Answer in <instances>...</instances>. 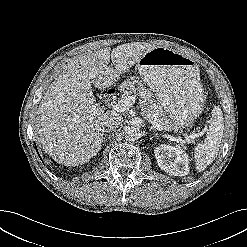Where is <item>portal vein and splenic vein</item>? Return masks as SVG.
<instances>
[{
  "mask_svg": "<svg viewBox=\"0 0 247 247\" xmlns=\"http://www.w3.org/2000/svg\"><path fill=\"white\" fill-rule=\"evenodd\" d=\"M135 102V97L131 95H127L125 97H122L118 102L111 101V106L116 110L117 112H124L126 109H128L129 106H131ZM148 122L151 123V125L156 128L158 131H162L164 128L156 122V120L152 119L150 116H147ZM191 137V136H190ZM193 138V137H191Z\"/></svg>",
  "mask_w": 247,
  "mask_h": 247,
  "instance_id": "1",
  "label": "portal vein and splenic vein"
}]
</instances>
